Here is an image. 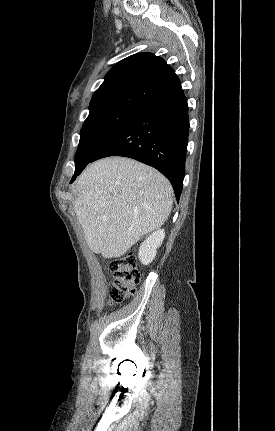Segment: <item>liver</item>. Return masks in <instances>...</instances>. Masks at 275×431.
<instances>
[{
	"instance_id": "liver-1",
	"label": "liver",
	"mask_w": 275,
	"mask_h": 431,
	"mask_svg": "<svg viewBox=\"0 0 275 431\" xmlns=\"http://www.w3.org/2000/svg\"><path fill=\"white\" fill-rule=\"evenodd\" d=\"M73 210L90 250L104 258L124 255L160 228L173 204V188L156 169L124 157L90 164L76 183Z\"/></svg>"
}]
</instances>
